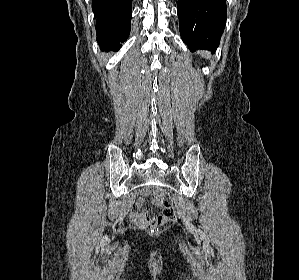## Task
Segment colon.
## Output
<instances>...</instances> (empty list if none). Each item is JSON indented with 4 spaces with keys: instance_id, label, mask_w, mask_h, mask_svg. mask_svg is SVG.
<instances>
[{
    "instance_id": "obj_1",
    "label": "colon",
    "mask_w": 299,
    "mask_h": 280,
    "mask_svg": "<svg viewBox=\"0 0 299 280\" xmlns=\"http://www.w3.org/2000/svg\"><path fill=\"white\" fill-rule=\"evenodd\" d=\"M153 202L162 207V212L151 218L147 224L148 229L151 232L156 233L161 226L174 222L176 220V214L170 198L165 194H157Z\"/></svg>"
}]
</instances>
